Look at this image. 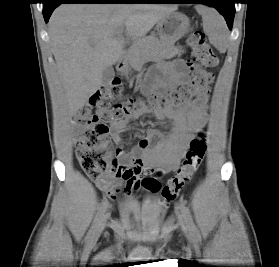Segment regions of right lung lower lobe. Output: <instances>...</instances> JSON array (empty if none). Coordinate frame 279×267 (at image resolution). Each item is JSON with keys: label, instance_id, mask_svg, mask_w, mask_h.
<instances>
[{"label": "right lung lower lobe", "instance_id": "right-lung-lower-lobe-1", "mask_svg": "<svg viewBox=\"0 0 279 267\" xmlns=\"http://www.w3.org/2000/svg\"><path fill=\"white\" fill-rule=\"evenodd\" d=\"M151 0H44L43 16L47 23L54 9L62 3H148Z\"/></svg>", "mask_w": 279, "mask_h": 267}]
</instances>
